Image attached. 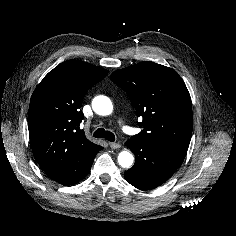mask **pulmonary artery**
Instances as JSON below:
<instances>
[{
	"mask_svg": "<svg viewBox=\"0 0 236 236\" xmlns=\"http://www.w3.org/2000/svg\"><path fill=\"white\" fill-rule=\"evenodd\" d=\"M121 123V122H120ZM122 129L125 131V132H127L128 131V127L127 126H125L124 124H122Z\"/></svg>",
	"mask_w": 236,
	"mask_h": 236,
	"instance_id": "e3ab8cb5",
	"label": "pulmonary artery"
}]
</instances>
